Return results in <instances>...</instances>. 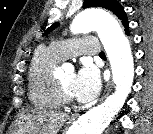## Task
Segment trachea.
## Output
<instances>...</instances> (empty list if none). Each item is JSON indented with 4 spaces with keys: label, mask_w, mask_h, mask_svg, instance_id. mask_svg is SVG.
<instances>
[{
    "label": "trachea",
    "mask_w": 153,
    "mask_h": 134,
    "mask_svg": "<svg viewBox=\"0 0 153 134\" xmlns=\"http://www.w3.org/2000/svg\"><path fill=\"white\" fill-rule=\"evenodd\" d=\"M99 56H105V53L104 52H100Z\"/></svg>",
    "instance_id": "trachea-1"
}]
</instances>
